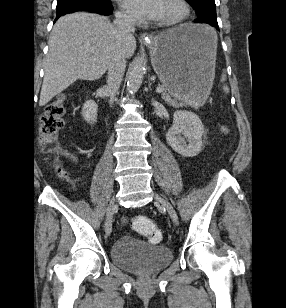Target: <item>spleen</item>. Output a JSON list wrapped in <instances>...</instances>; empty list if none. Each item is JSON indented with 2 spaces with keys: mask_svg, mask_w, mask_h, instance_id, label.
<instances>
[{
  "mask_svg": "<svg viewBox=\"0 0 286 308\" xmlns=\"http://www.w3.org/2000/svg\"><path fill=\"white\" fill-rule=\"evenodd\" d=\"M225 80H226V75L223 73V74H222V77H221V82H224ZM223 90H224L225 93H228V92H229L228 86H227V85H224V86H223Z\"/></svg>",
  "mask_w": 286,
  "mask_h": 308,
  "instance_id": "3e777b00",
  "label": "spleen"
}]
</instances>
